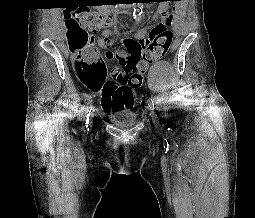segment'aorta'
I'll return each mask as SVG.
<instances>
[{"mask_svg": "<svg viewBox=\"0 0 255 218\" xmlns=\"http://www.w3.org/2000/svg\"><path fill=\"white\" fill-rule=\"evenodd\" d=\"M133 18L136 23H139L141 21L142 16V4L141 3H134L133 4Z\"/></svg>", "mask_w": 255, "mask_h": 218, "instance_id": "obj_1", "label": "aorta"}]
</instances>
